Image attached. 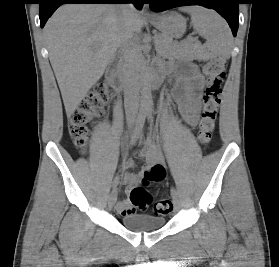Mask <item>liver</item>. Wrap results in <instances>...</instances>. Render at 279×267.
Listing matches in <instances>:
<instances>
[{
	"instance_id": "liver-1",
	"label": "liver",
	"mask_w": 279,
	"mask_h": 267,
	"mask_svg": "<svg viewBox=\"0 0 279 267\" xmlns=\"http://www.w3.org/2000/svg\"><path fill=\"white\" fill-rule=\"evenodd\" d=\"M122 15L113 4H67L50 17L44 27L49 59L54 70L67 117L103 76L120 47ZM144 19L131 18L139 33Z\"/></svg>"
}]
</instances>
